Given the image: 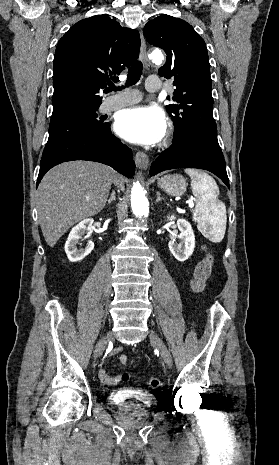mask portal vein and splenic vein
I'll list each match as a JSON object with an SVG mask.
<instances>
[{"label":"portal vein and splenic vein","mask_w":279,"mask_h":465,"mask_svg":"<svg viewBox=\"0 0 279 465\" xmlns=\"http://www.w3.org/2000/svg\"><path fill=\"white\" fill-rule=\"evenodd\" d=\"M86 200L88 201V200H90V198H89V197H87V198H86ZM188 203H189V206H192V205H193V202H192V200H191V199H189Z\"/></svg>","instance_id":"portal-vein-and-splenic-vein-1"}]
</instances>
